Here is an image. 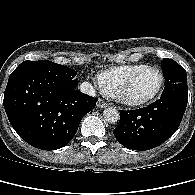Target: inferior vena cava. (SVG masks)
<instances>
[{"instance_id": "obj_1", "label": "inferior vena cava", "mask_w": 195, "mask_h": 195, "mask_svg": "<svg viewBox=\"0 0 195 195\" xmlns=\"http://www.w3.org/2000/svg\"><path fill=\"white\" fill-rule=\"evenodd\" d=\"M79 90L82 93L90 95L92 97L96 96V91H95L94 87L88 82L81 83L80 86H79Z\"/></svg>"}]
</instances>
